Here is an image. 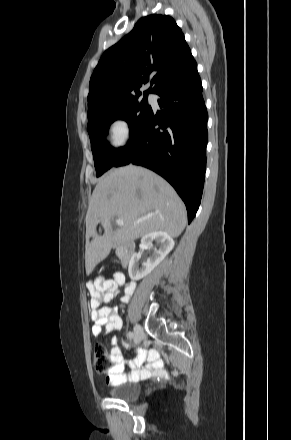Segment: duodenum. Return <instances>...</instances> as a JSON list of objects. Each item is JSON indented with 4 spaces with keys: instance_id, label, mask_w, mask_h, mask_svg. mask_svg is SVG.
Masks as SVG:
<instances>
[{
    "instance_id": "1",
    "label": "duodenum",
    "mask_w": 291,
    "mask_h": 440,
    "mask_svg": "<svg viewBox=\"0 0 291 440\" xmlns=\"http://www.w3.org/2000/svg\"><path fill=\"white\" fill-rule=\"evenodd\" d=\"M111 238H113V236ZM112 247L113 249H120L121 262L123 264H128L131 262L135 252V244L133 241L127 239L119 240L116 241Z\"/></svg>"
}]
</instances>
